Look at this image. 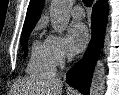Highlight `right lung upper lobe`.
Returning a JSON list of instances; mask_svg holds the SVG:
<instances>
[{
	"label": "right lung upper lobe",
	"mask_w": 119,
	"mask_h": 95,
	"mask_svg": "<svg viewBox=\"0 0 119 95\" xmlns=\"http://www.w3.org/2000/svg\"><path fill=\"white\" fill-rule=\"evenodd\" d=\"M43 3L44 0H30L22 33L33 29L36 22L40 18Z\"/></svg>",
	"instance_id": "obj_1"
}]
</instances>
